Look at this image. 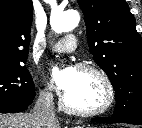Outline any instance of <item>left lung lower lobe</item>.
Returning <instances> with one entry per match:
<instances>
[{"label": "left lung lower lobe", "instance_id": "0a47b994", "mask_svg": "<svg viewBox=\"0 0 142 128\" xmlns=\"http://www.w3.org/2000/svg\"><path fill=\"white\" fill-rule=\"evenodd\" d=\"M97 123H128L134 125H142V114L127 115V116H112V117H99L92 120Z\"/></svg>", "mask_w": 142, "mask_h": 128}]
</instances>
